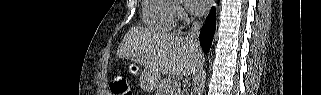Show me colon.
Masks as SVG:
<instances>
[{"instance_id": "1", "label": "colon", "mask_w": 321, "mask_h": 95, "mask_svg": "<svg viewBox=\"0 0 321 95\" xmlns=\"http://www.w3.org/2000/svg\"><path fill=\"white\" fill-rule=\"evenodd\" d=\"M110 89L115 95H132L128 82L121 75H116L112 79L110 83Z\"/></svg>"}]
</instances>
